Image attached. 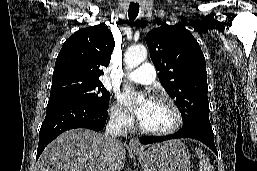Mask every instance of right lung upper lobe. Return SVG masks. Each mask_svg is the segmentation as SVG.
I'll return each instance as SVG.
<instances>
[{"label":"right lung upper lobe","mask_w":257,"mask_h":171,"mask_svg":"<svg viewBox=\"0 0 257 171\" xmlns=\"http://www.w3.org/2000/svg\"><path fill=\"white\" fill-rule=\"evenodd\" d=\"M115 41L111 31L96 25L75 32L63 44L55 62L51 90L75 83L101 82Z\"/></svg>","instance_id":"cb5924a9"}]
</instances>
